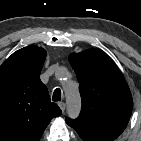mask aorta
<instances>
[{
    "label": "aorta",
    "mask_w": 141,
    "mask_h": 141,
    "mask_svg": "<svg viewBox=\"0 0 141 141\" xmlns=\"http://www.w3.org/2000/svg\"><path fill=\"white\" fill-rule=\"evenodd\" d=\"M64 74L65 71H62ZM62 73L58 72L57 76L61 77ZM66 102H67V113L71 118H76L81 110V98L76 88L67 87L65 89Z\"/></svg>",
    "instance_id": "1"
}]
</instances>
